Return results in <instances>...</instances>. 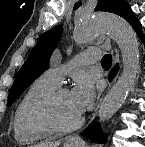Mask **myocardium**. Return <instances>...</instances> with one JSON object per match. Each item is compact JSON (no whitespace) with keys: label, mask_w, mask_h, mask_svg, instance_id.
I'll use <instances>...</instances> for the list:
<instances>
[{"label":"myocardium","mask_w":145,"mask_h":147,"mask_svg":"<svg viewBox=\"0 0 145 147\" xmlns=\"http://www.w3.org/2000/svg\"><path fill=\"white\" fill-rule=\"evenodd\" d=\"M69 92L68 88L58 86L50 93L43 96L37 103L36 110L38 115L46 122L55 132L68 133L78 127L83 122L82 116H79L76 121L70 124H65L59 120L56 114V102L63 94Z\"/></svg>","instance_id":"myocardium-1"}]
</instances>
